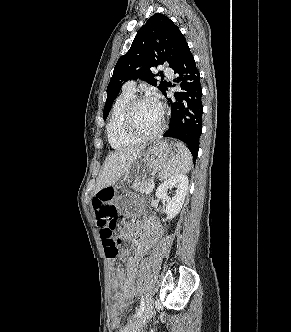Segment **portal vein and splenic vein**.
I'll return each mask as SVG.
<instances>
[{"mask_svg":"<svg viewBox=\"0 0 291 332\" xmlns=\"http://www.w3.org/2000/svg\"><path fill=\"white\" fill-rule=\"evenodd\" d=\"M154 186H155V184H154V182L152 181V182L149 184V186L147 187L146 194H147V193H150V192L153 190Z\"/></svg>","mask_w":291,"mask_h":332,"instance_id":"portal-vein-and-splenic-vein-1","label":"portal vein and splenic vein"}]
</instances>
